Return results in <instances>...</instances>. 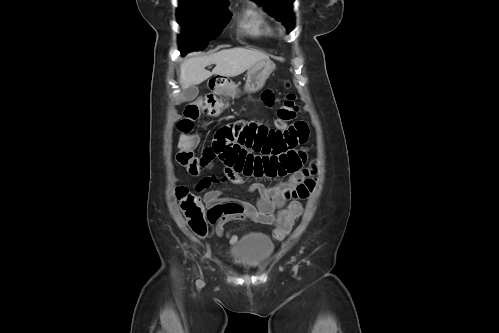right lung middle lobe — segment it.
Listing matches in <instances>:
<instances>
[{
  "mask_svg": "<svg viewBox=\"0 0 499 333\" xmlns=\"http://www.w3.org/2000/svg\"><path fill=\"white\" fill-rule=\"evenodd\" d=\"M177 19L186 35L180 36V50H203L230 20L228 0H178Z\"/></svg>",
  "mask_w": 499,
  "mask_h": 333,
  "instance_id": "1",
  "label": "right lung middle lobe"
}]
</instances>
